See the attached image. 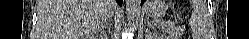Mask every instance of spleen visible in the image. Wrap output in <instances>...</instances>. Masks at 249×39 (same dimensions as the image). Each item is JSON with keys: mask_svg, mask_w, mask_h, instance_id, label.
<instances>
[{"mask_svg": "<svg viewBox=\"0 0 249 39\" xmlns=\"http://www.w3.org/2000/svg\"><path fill=\"white\" fill-rule=\"evenodd\" d=\"M190 26L194 39H209L211 19L203 0L194 1Z\"/></svg>", "mask_w": 249, "mask_h": 39, "instance_id": "3e777b00", "label": "spleen"}]
</instances>
